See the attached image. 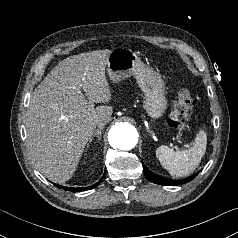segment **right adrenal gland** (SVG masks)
Segmentation results:
<instances>
[{"label": "right adrenal gland", "instance_id": "right-adrenal-gland-1", "mask_svg": "<svg viewBox=\"0 0 238 238\" xmlns=\"http://www.w3.org/2000/svg\"><path fill=\"white\" fill-rule=\"evenodd\" d=\"M103 127L97 129L94 134L92 135V137H90L89 139V143L87 144V148L89 147L90 143L92 142V140L94 139V137H96L98 139V141L101 140V133H102Z\"/></svg>", "mask_w": 238, "mask_h": 238}]
</instances>
